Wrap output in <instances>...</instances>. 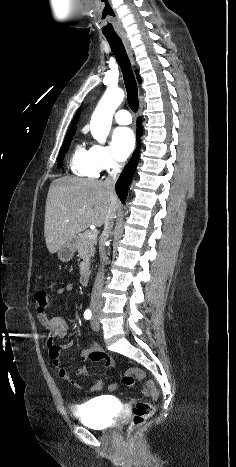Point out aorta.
<instances>
[{
    "label": "aorta",
    "instance_id": "obj_1",
    "mask_svg": "<svg viewBox=\"0 0 236 467\" xmlns=\"http://www.w3.org/2000/svg\"><path fill=\"white\" fill-rule=\"evenodd\" d=\"M123 99L124 91L122 89L109 87L95 108L90 121V130L98 142L102 143L107 138L113 114Z\"/></svg>",
    "mask_w": 236,
    "mask_h": 467
}]
</instances>
